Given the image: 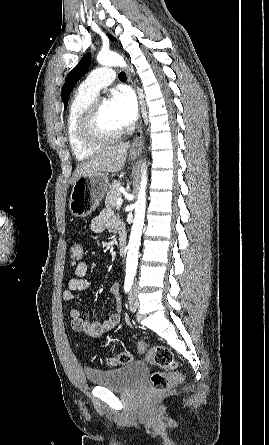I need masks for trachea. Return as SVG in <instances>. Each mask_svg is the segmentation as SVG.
Listing matches in <instances>:
<instances>
[{
	"label": "trachea",
	"mask_w": 269,
	"mask_h": 445,
	"mask_svg": "<svg viewBox=\"0 0 269 445\" xmlns=\"http://www.w3.org/2000/svg\"><path fill=\"white\" fill-rule=\"evenodd\" d=\"M119 79H120L121 81H124V80L127 79V76H126L125 72H120V73H119Z\"/></svg>",
	"instance_id": "obj_1"
}]
</instances>
